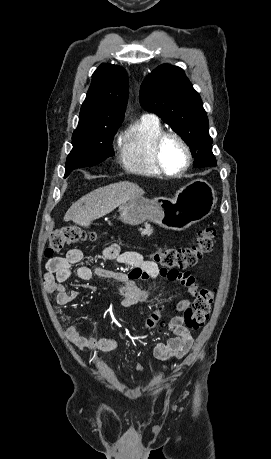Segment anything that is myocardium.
Instances as JSON below:
<instances>
[{"instance_id": "f54148a6", "label": "myocardium", "mask_w": 271, "mask_h": 459, "mask_svg": "<svg viewBox=\"0 0 271 459\" xmlns=\"http://www.w3.org/2000/svg\"><path fill=\"white\" fill-rule=\"evenodd\" d=\"M171 136L178 138L184 145L186 152H187L186 166L183 169L178 170V171L170 170L165 165L163 158H162V152H161L162 144L166 138L171 137ZM152 157H153L154 163L164 174L170 177H178V176H182L183 174L189 171V169L191 168L193 164L194 154H193V150L188 140L181 133L174 131V130H166V131H162L154 138L153 146H152Z\"/></svg>"}]
</instances>
